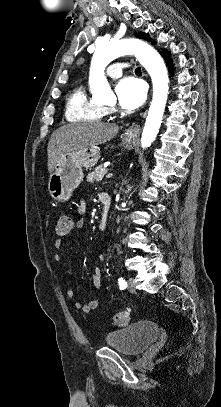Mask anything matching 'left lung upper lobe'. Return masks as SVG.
<instances>
[{"label":"left lung upper lobe","mask_w":221,"mask_h":407,"mask_svg":"<svg viewBox=\"0 0 221 407\" xmlns=\"http://www.w3.org/2000/svg\"><path fill=\"white\" fill-rule=\"evenodd\" d=\"M136 34V36L138 37V38H142V39H147V40H150V38H149V36L148 35H146V34H144V33H135Z\"/></svg>","instance_id":"obj_1"}]
</instances>
